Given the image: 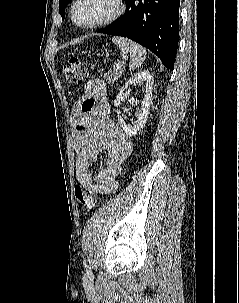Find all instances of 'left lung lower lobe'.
<instances>
[{
    "mask_svg": "<svg viewBox=\"0 0 239 303\" xmlns=\"http://www.w3.org/2000/svg\"><path fill=\"white\" fill-rule=\"evenodd\" d=\"M124 15L98 33L128 37L174 69L179 40L180 0H125Z\"/></svg>",
    "mask_w": 239,
    "mask_h": 303,
    "instance_id": "left-lung-lower-lobe-1",
    "label": "left lung lower lobe"
}]
</instances>
